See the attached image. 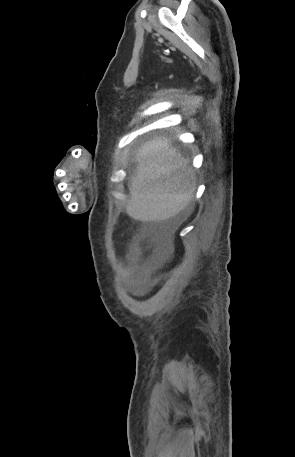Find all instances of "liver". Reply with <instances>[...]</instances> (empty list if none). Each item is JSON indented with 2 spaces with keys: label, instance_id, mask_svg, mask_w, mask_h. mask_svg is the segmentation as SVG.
<instances>
[{
  "label": "liver",
  "instance_id": "liver-1",
  "mask_svg": "<svg viewBox=\"0 0 295 457\" xmlns=\"http://www.w3.org/2000/svg\"><path fill=\"white\" fill-rule=\"evenodd\" d=\"M136 174L128 184L127 214L138 221H164L193 200L196 177L190 162L167 137L143 143L136 155Z\"/></svg>",
  "mask_w": 295,
  "mask_h": 457
}]
</instances>
